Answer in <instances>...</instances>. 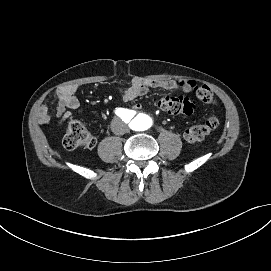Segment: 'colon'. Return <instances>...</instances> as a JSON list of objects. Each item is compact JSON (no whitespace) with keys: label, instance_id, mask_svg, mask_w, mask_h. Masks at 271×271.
Wrapping results in <instances>:
<instances>
[{"label":"colon","instance_id":"5ec220e1","mask_svg":"<svg viewBox=\"0 0 271 271\" xmlns=\"http://www.w3.org/2000/svg\"><path fill=\"white\" fill-rule=\"evenodd\" d=\"M196 97L204 103L215 104L216 97L207 86H199L195 92ZM158 107L170 114H191L195 109V103L188 97L163 96L157 101ZM218 119L214 116L207 118L202 124L188 128L184 138L188 143H200L210 132L218 127ZM63 144L67 149H90L95 145V138L86 127L77 120L68 124Z\"/></svg>","mask_w":271,"mask_h":271}]
</instances>
